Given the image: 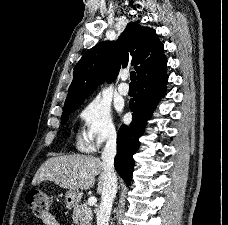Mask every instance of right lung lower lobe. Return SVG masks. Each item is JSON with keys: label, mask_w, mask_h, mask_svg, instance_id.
I'll return each instance as SVG.
<instances>
[{"label": "right lung lower lobe", "mask_w": 228, "mask_h": 225, "mask_svg": "<svg viewBox=\"0 0 228 225\" xmlns=\"http://www.w3.org/2000/svg\"><path fill=\"white\" fill-rule=\"evenodd\" d=\"M166 65V57L162 55L138 74V92L129 103L133 120L129 126L122 125L118 132L117 155L114 165L127 185H130L132 179L134 167L132 156L139 146L138 139L143 134L146 124L144 121L151 117L153 109L166 93L168 80Z\"/></svg>", "instance_id": "right-lung-lower-lobe-1"}]
</instances>
